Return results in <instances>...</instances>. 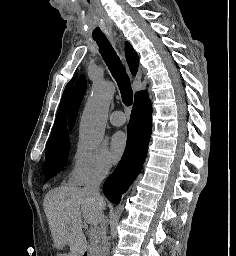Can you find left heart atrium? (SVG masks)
Instances as JSON below:
<instances>
[{
  "label": "left heart atrium",
  "instance_id": "obj_1",
  "mask_svg": "<svg viewBox=\"0 0 236 256\" xmlns=\"http://www.w3.org/2000/svg\"><path fill=\"white\" fill-rule=\"evenodd\" d=\"M127 147V136L122 133H116L112 139L110 144V158L112 161L117 162L120 160L122 155L124 154Z\"/></svg>",
  "mask_w": 236,
  "mask_h": 256
}]
</instances>
